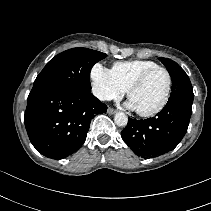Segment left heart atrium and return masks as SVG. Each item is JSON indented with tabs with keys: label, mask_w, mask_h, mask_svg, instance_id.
I'll return each instance as SVG.
<instances>
[{
	"label": "left heart atrium",
	"mask_w": 211,
	"mask_h": 211,
	"mask_svg": "<svg viewBox=\"0 0 211 211\" xmlns=\"http://www.w3.org/2000/svg\"><path fill=\"white\" fill-rule=\"evenodd\" d=\"M128 107L131 108V109H135L131 102L128 103Z\"/></svg>",
	"instance_id": "obj_1"
}]
</instances>
